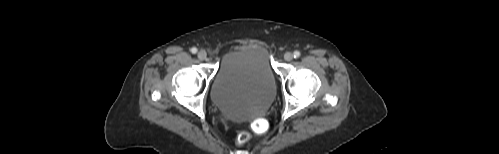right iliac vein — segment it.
<instances>
[{
  "instance_id": "63e3f726",
  "label": "right iliac vein",
  "mask_w": 499,
  "mask_h": 154,
  "mask_svg": "<svg viewBox=\"0 0 499 154\" xmlns=\"http://www.w3.org/2000/svg\"><path fill=\"white\" fill-rule=\"evenodd\" d=\"M197 56H198V59L201 61H204L207 58V54L205 51H200Z\"/></svg>"
}]
</instances>
